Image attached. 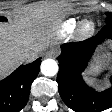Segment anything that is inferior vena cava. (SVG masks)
Segmentation results:
<instances>
[{"mask_svg": "<svg viewBox=\"0 0 112 112\" xmlns=\"http://www.w3.org/2000/svg\"><path fill=\"white\" fill-rule=\"evenodd\" d=\"M38 57V52L26 50L19 55V59L21 62H32Z\"/></svg>", "mask_w": 112, "mask_h": 112, "instance_id": "1", "label": "inferior vena cava"}]
</instances>
